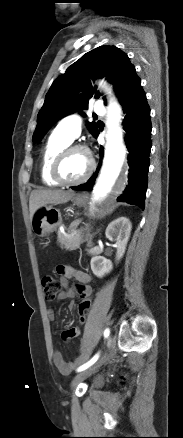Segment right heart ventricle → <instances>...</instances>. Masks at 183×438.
I'll use <instances>...</instances> for the list:
<instances>
[{
    "label": "right heart ventricle",
    "instance_id": "e07e8e85",
    "mask_svg": "<svg viewBox=\"0 0 183 438\" xmlns=\"http://www.w3.org/2000/svg\"><path fill=\"white\" fill-rule=\"evenodd\" d=\"M71 139L57 131L56 129L49 136L44 145L41 161H40V176L44 185L55 187L58 184L50 176V168L55 156L66 146L70 145Z\"/></svg>",
    "mask_w": 183,
    "mask_h": 438
}]
</instances>
